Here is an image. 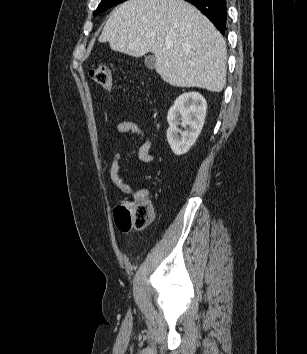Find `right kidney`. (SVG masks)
<instances>
[{"label": "right kidney", "instance_id": "ca27d5eb", "mask_svg": "<svg viewBox=\"0 0 307 354\" xmlns=\"http://www.w3.org/2000/svg\"><path fill=\"white\" fill-rule=\"evenodd\" d=\"M207 103L198 92H187L180 95L168 111L167 140L176 155H183L198 138L206 116ZM178 125L187 128L178 135Z\"/></svg>", "mask_w": 307, "mask_h": 354}]
</instances>
